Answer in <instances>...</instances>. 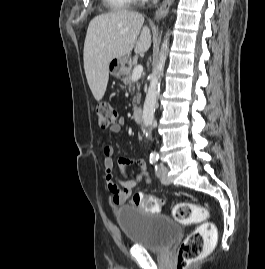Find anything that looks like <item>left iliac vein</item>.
<instances>
[{
  "instance_id": "4c4485c4",
  "label": "left iliac vein",
  "mask_w": 265,
  "mask_h": 269,
  "mask_svg": "<svg viewBox=\"0 0 265 269\" xmlns=\"http://www.w3.org/2000/svg\"><path fill=\"white\" fill-rule=\"evenodd\" d=\"M159 171H160L161 182L165 185L169 184V179L167 176V173H168L167 168L165 166L161 165Z\"/></svg>"
}]
</instances>
